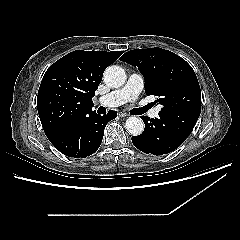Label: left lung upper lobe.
<instances>
[{"instance_id":"obj_1","label":"left lung upper lobe","mask_w":240,"mask_h":240,"mask_svg":"<svg viewBox=\"0 0 240 240\" xmlns=\"http://www.w3.org/2000/svg\"><path fill=\"white\" fill-rule=\"evenodd\" d=\"M138 67L145 79L147 96L157 97L159 113L186 110L201 112V91L192 67L175 53L161 48L135 49L121 58Z\"/></svg>"}]
</instances>
